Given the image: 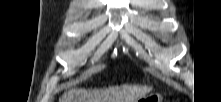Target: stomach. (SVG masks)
Instances as JSON below:
<instances>
[{
    "mask_svg": "<svg viewBox=\"0 0 221 102\" xmlns=\"http://www.w3.org/2000/svg\"><path fill=\"white\" fill-rule=\"evenodd\" d=\"M137 102H162V98L157 93H151L147 96H143Z\"/></svg>",
    "mask_w": 221,
    "mask_h": 102,
    "instance_id": "1",
    "label": "stomach"
}]
</instances>
